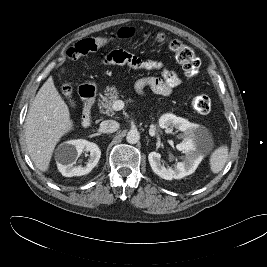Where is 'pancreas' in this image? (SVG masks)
Wrapping results in <instances>:
<instances>
[{"instance_id":"cf45deb5","label":"pancreas","mask_w":267,"mask_h":267,"mask_svg":"<svg viewBox=\"0 0 267 267\" xmlns=\"http://www.w3.org/2000/svg\"><path fill=\"white\" fill-rule=\"evenodd\" d=\"M119 92L115 86L107 87L104 96L99 100L100 112L108 116L114 115L113 103L118 99Z\"/></svg>"}]
</instances>
